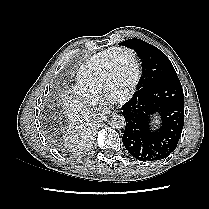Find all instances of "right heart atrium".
<instances>
[{
	"mask_svg": "<svg viewBox=\"0 0 209 209\" xmlns=\"http://www.w3.org/2000/svg\"><path fill=\"white\" fill-rule=\"evenodd\" d=\"M76 95L77 97L83 101L86 104H96L97 103V99L95 96L81 90V89H77L76 90Z\"/></svg>",
	"mask_w": 209,
	"mask_h": 209,
	"instance_id": "right-heart-atrium-1",
	"label": "right heart atrium"
}]
</instances>
